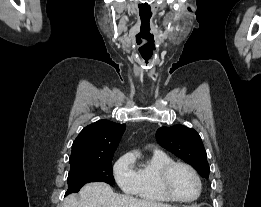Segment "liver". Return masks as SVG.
I'll use <instances>...</instances> for the list:
<instances>
[{
	"label": "liver",
	"mask_w": 261,
	"mask_h": 207,
	"mask_svg": "<svg viewBox=\"0 0 261 207\" xmlns=\"http://www.w3.org/2000/svg\"><path fill=\"white\" fill-rule=\"evenodd\" d=\"M62 207H172L150 200L138 199L130 195L114 193L104 182L86 184L76 194L67 196Z\"/></svg>",
	"instance_id": "obj_1"
}]
</instances>
